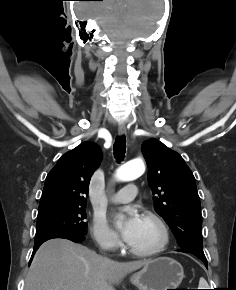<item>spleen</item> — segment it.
Instances as JSON below:
<instances>
[{"instance_id": "3e777b00", "label": "spleen", "mask_w": 236, "mask_h": 290, "mask_svg": "<svg viewBox=\"0 0 236 290\" xmlns=\"http://www.w3.org/2000/svg\"><path fill=\"white\" fill-rule=\"evenodd\" d=\"M199 287H203L201 289H205L204 287H207V282L204 278H200Z\"/></svg>"}]
</instances>
